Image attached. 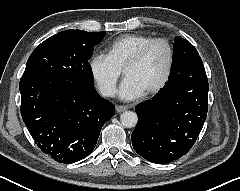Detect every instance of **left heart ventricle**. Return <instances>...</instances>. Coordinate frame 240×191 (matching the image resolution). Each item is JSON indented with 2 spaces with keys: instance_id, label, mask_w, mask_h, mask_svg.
I'll use <instances>...</instances> for the list:
<instances>
[{
  "instance_id": "left-heart-ventricle-1",
  "label": "left heart ventricle",
  "mask_w": 240,
  "mask_h": 191,
  "mask_svg": "<svg viewBox=\"0 0 240 191\" xmlns=\"http://www.w3.org/2000/svg\"><path fill=\"white\" fill-rule=\"evenodd\" d=\"M168 63V51L163 43H156L143 60L126 70L125 77L132 78L143 90L148 91L163 78Z\"/></svg>"
}]
</instances>
